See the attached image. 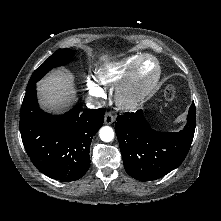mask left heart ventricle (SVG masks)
Listing matches in <instances>:
<instances>
[{
	"instance_id": "1",
	"label": "left heart ventricle",
	"mask_w": 221,
	"mask_h": 221,
	"mask_svg": "<svg viewBox=\"0 0 221 221\" xmlns=\"http://www.w3.org/2000/svg\"><path fill=\"white\" fill-rule=\"evenodd\" d=\"M156 71L155 64L152 60H146L142 63L139 70V78L142 82L152 79Z\"/></svg>"
}]
</instances>
